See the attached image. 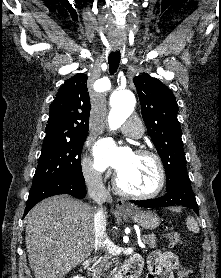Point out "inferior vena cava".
I'll use <instances>...</instances> for the list:
<instances>
[{
	"label": "inferior vena cava",
	"mask_w": 221,
	"mask_h": 278,
	"mask_svg": "<svg viewBox=\"0 0 221 278\" xmlns=\"http://www.w3.org/2000/svg\"><path fill=\"white\" fill-rule=\"evenodd\" d=\"M86 185L89 196L97 203L98 208L94 214V234H95V247L105 245L106 236V218L104 208L102 206L105 202L112 201V197L108 190L105 188L100 173L90 170L86 174ZM111 254L103 256V264L108 265L111 259Z\"/></svg>",
	"instance_id": "inferior-vena-cava-1"
}]
</instances>
